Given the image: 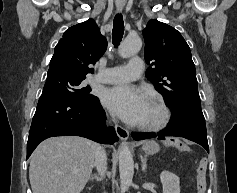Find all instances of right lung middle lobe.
Listing matches in <instances>:
<instances>
[{
	"mask_svg": "<svg viewBox=\"0 0 237 193\" xmlns=\"http://www.w3.org/2000/svg\"><path fill=\"white\" fill-rule=\"evenodd\" d=\"M84 79L83 77H75L58 71L48 72L42 94L61 95L76 103H87L96 100L97 97L90 94V87H85L82 84Z\"/></svg>",
	"mask_w": 237,
	"mask_h": 193,
	"instance_id": "1",
	"label": "right lung middle lobe"
}]
</instances>
